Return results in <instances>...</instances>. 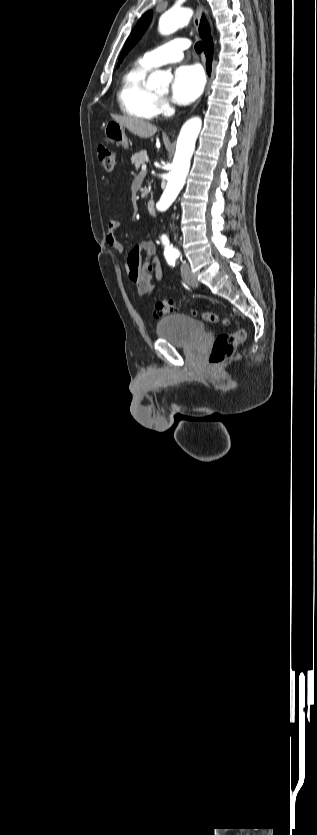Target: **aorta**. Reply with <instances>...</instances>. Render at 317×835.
Wrapping results in <instances>:
<instances>
[{
    "instance_id": "obj_1",
    "label": "aorta",
    "mask_w": 317,
    "mask_h": 835,
    "mask_svg": "<svg viewBox=\"0 0 317 835\" xmlns=\"http://www.w3.org/2000/svg\"><path fill=\"white\" fill-rule=\"evenodd\" d=\"M191 9L173 7L163 12L159 17V32L163 35L174 33L180 26L186 25L191 17ZM172 79V75L160 70L152 72L147 80V87L151 89L165 88ZM202 128L199 117L187 120L177 139L176 151L168 175L166 189L160 198L157 208L165 211L176 199L181 191L190 168V161L195 149V143Z\"/></svg>"
}]
</instances>
